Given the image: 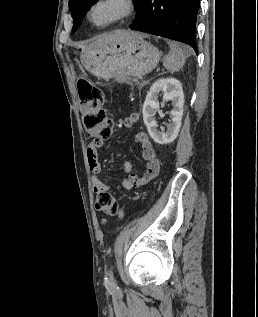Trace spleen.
<instances>
[{
  "mask_svg": "<svg viewBox=\"0 0 258 317\" xmlns=\"http://www.w3.org/2000/svg\"><path fill=\"white\" fill-rule=\"evenodd\" d=\"M169 44V54L164 56L163 64L166 68H170V70H173L174 72V70H179V68L184 66L187 56L192 52V48L186 46L184 50V48H181L176 42H169Z\"/></svg>",
  "mask_w": 258,
  "mask_h": 317,
  "instance_id": "1",
  "label": "spleen"
}]
</instances>
